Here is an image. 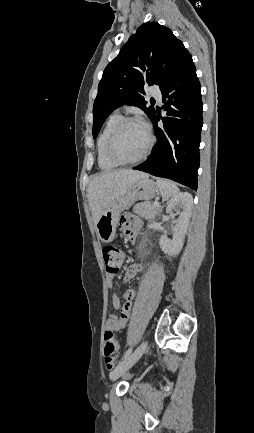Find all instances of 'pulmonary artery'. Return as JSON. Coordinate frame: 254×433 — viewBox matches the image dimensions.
<instances>
[{"label": "pulmonary artery", "mask_w": 254, "mask_h": 433, "mask_svg": "<svg viewBox=\"0 0 254 433\" xmlns=\"http://www.w3.org/2000/svg\"><path fill=\"white\" fill-rule=\"evenodd\" d=\"M150 94L158 100H161V98H162L161 91L157 87H151Z\"/></svg>", "instance_id": "pulmonary-artery-1"}]
</instances>
